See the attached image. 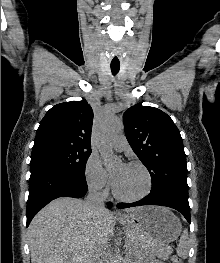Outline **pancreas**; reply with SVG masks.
Returning <instances> with one entry per match:
<instances>
[{
	"mask_svg": "<svg viewBox=\"0 0 220 263\" xmlns=\"http://www.w3.org/2000/svg\"><path fill=\"white\" fill-rule=\"evenodd\" d=\"M126 243L127 246L131 249L138 248V235L135 231L126 230ZM150 250L159 258L167 259L169 255L172 253V249L168 246L162 245V244H152L149 247Z\"/></svg>",
	"mask_w": 220,
	"mask_h": 263,
	"instance_id": "1",
	"label": "pancreas"
}]
</instances>
